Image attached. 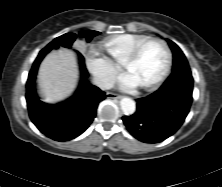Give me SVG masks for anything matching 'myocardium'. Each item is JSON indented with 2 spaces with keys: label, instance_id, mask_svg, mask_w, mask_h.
Listing matches in <instances>:
<instances>
[{
  "label": "myocardium",
  "instance_id": "obj_1",
  "mask_svg": "<svg viewBox=\"0 0 222 187\" xmlns=\"http://www.w3.org/2000/svg\"><path fill=\"white\" fill-rule=\"evenodd\" d=\"M150 43H159L163 46V48L165 49V52H166V64H165L163 72L155 81L148 83V84L140 85V87L145 90L156 89L167 78V76L170 72L171 66H172V52H171V49L168 46V44L160 38H148V39L144 40L143 42H141L140 44H138L133 49V51L129 54V56L124 60V62L122 64L123 70L125 72H127L128 67L138 60L143 49Z\"/></svg>",
  "mask_w": 222,
  "mask_h": 187
}]
</instances>
